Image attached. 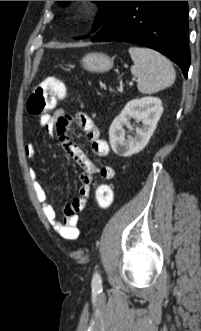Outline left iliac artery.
I'll return each mask as SVG.
<instances>
[{
	"label": "left iliac artery",
	"instance_id": "left-iliac-artery-1",
	"mask_svg": "<svg viewBox=\"0 0 201 331\" xmlns=\"http://www.w3.org/2000/svg\"><path fill=\"white\" fill-rule=\"evenodd\" d=\"M92 287L95 290H100L102 287V279L98 272H95L93 279H92Z\"/></svg>",
	"mask_w": 201,
	"mask_h": 331
}]
</instances>
